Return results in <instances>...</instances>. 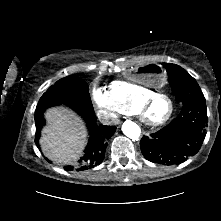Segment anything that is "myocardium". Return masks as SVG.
Segmentation results:
<instances>
[{
    "instance_id": "myocardium-1",
    "label": "myocardium",
    "mask_w": 221,
    "mask_h": 221,
    "mask_svg": "<svg viewBox=\"0 0 221 221\" xmlns=\"http://www.w3.org/2000/svg\"><path fill=\"white\" fill-rule=\"evenodd\" d=\"M158 98H164L167 101H169L170 111L164 118L157 120V121H153L147 116V110H148L149 106ZM174 112H175L174 101L169 95H167L165 93H154V94L150 95L149 97L142 100L136 108V113L139 114L141 121L143 123H145L147 126H151V127H156V126H160V125L165 124L166 122H168L171 119Z\"/></svg>"
}]
</instances>
